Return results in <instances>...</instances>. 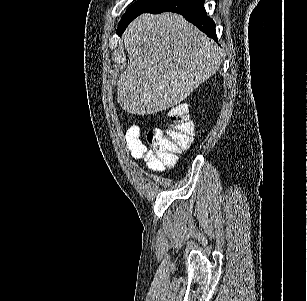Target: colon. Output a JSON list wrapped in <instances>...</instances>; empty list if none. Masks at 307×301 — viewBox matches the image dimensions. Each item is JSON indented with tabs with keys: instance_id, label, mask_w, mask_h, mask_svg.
<instances>
[{
	"instance_id": "5ec220e1",
	"label": "colon",
	"mask_w": 307,
	"mask_h": 301,
	"mask_svg": "<svg viewBox=\"0 0 307 301\" xmlns=\"http://www.w3.org/2000/svg\"><path fill=\"white\" fill-rule=\"evenodd\" d=\"M169 126L166 130L154 129L148 133L147 141L151 151L165 167L177 162V155L187 149L194 136V124L188 114V108L181 103L168 111Z\"/></svg>"
}]
</instances>
